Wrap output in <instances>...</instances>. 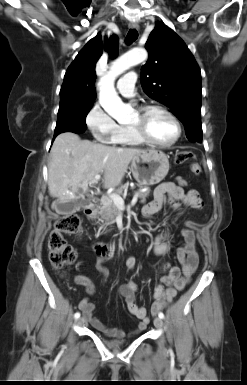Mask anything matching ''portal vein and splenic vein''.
<instances>
[{"mask_svg": "<svg viewBox=\"0 0 247 385\" xmlns=\"http://www.w3.org/2000/svg\"><path fill=\"white\" fill-rule=\"evenodd\" d=\"M101 176L100 175H96L94 177V182H98L100 180ZM110 199L113 200L114 204L117 206V207H120V208H124V199L120 196V195H117L115 193H111L108 195ZM138 199V194H135L133 196V199H132V202H136Z\"/></svg>", "mask_w": 247, "mask_h": 385, "instance_id": "obj_1", "label": "portal vein and splenic vein"}]
</instances>
